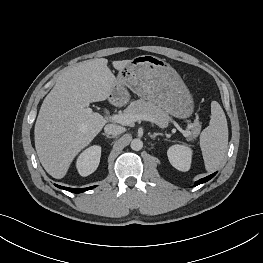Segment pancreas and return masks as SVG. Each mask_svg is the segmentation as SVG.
Here are the masks:
<instances>
[{
  "label": "pancreas",
  "instance_id": "obj_1",
  "mask_svg": "<svg viewBox=\"0 0 263 263\" xmlns=\"http://www.w3.org/2000/svg\"><path fill=\"white\" fill-rule=\"evenodd\" d=\"M124 114L134 116L142 114L151 115L156 120V124L161 128L167 127L169 121H171L168 113L164 111L162 107L143 99L131 102L130 105L124 110ZM189 129L191 132V139H195L200 133L201 125L198 121H195L190 125Z\"/></svg>",
  "mask_w": 263,
  "mask_h": 263
}]
</instances>
